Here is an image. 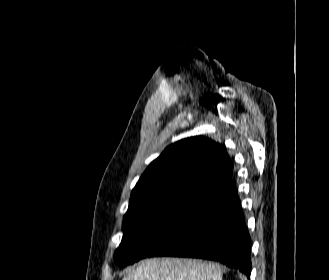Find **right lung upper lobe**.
Listing matches in <instances>:
<instances>
[{"label": "right lung upper lobe", "instance_id": "obj_1", "mask_svg": "<svg viewBox=\"0 0 329 280\" xmlns=\"http://www.w3.org/2000/svg\"><path fill=\"white\" fill-rule=\"evenodd\" d=\"M230 179L225 146L202 136L186 138L168 146L149 165L131 193L128 210L172 196L206 199Z\"/></svg>", "mask_w": 329, "mask_h": 280}]
</instances>
